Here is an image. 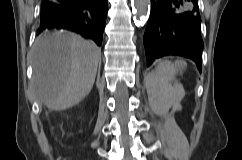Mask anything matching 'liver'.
Instances as JSON below:
<instances>
[{"label": "liver", "mask_w": 242, "mask_h": 160, "mask_svg": "<svg viewBox=\"0 0 242 160\" xmlns=\"http://www.w3.org/2000/svg\"><path fill=\"white\" fill-rule=\"evenodd\" d=\"M100 57L93 41L74 33L39 37L32 52L34 98L55 111L78 104L92 90Z\"/></svg>", "instance_id": "liver-1"}]
</instances>
